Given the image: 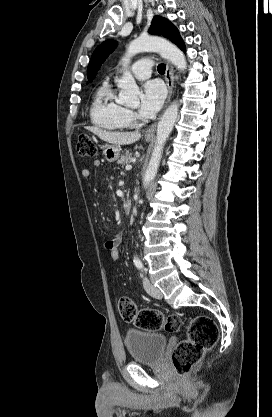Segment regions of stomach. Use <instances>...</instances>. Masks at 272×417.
I'll return each mask as SVG.
<instances>
[{"label":"stomach","mask_w":272,"mask_h":417,"mask_svg":"<svg viewBox=\"0 0 272 417\" xmlns=\"http://www.w3.org/2000/svg\"><path fill=\"white\" fill-rule=\"evenodd\" d=\"M146 141H150V137H145ZM103 155L108 162L116 161L120 156L121 148L117 144H105L102 146Z\"/></svg>","instance_id":"0dacf381"}]
</instances>
